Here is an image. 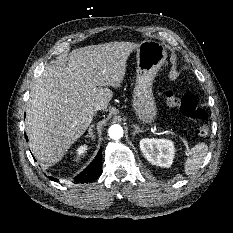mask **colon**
I'll return each mask as SVG.
<instances>
[{
    "label": "colon",
    "mask_w": 233,
    "mask_h": 233,
    "mask_svg": "<svg viewBox=\"0 0 233 233\" xmlns=\"http://www.w3.org/2000/svg\"><path fill=\"white\" fill-rule=\"evenodd\" d=\"M168 106L178 109L184 116L196 124V133L201 137L209 135L208 113L200 108L193 94L177 95L174 91L166 93Z\"/></svg>",
    "instance_id": "1"
}]
</instances>
